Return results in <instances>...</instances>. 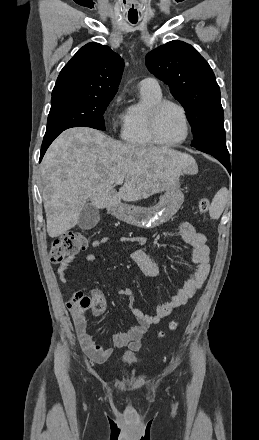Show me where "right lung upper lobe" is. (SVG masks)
I'll return each instance as SVG.
<instances>
[{
  "mask_svg": "<svg viewBox=\"0 0 259 440\" xmlns=\"http://www.w3.org/2000/svg\"><path fill=\"white\" fill-rule=\"evenodd\" d=\"M123 68V59L110 47L88 43L63 67L52 96L74 93L114 97Z\"/></svg>",
  "mask_w": 259,
  "mask_h": 440,
  "instance_id": "cb5924a9",
  "label": "right lung upper lobe"
}]
</instances>
